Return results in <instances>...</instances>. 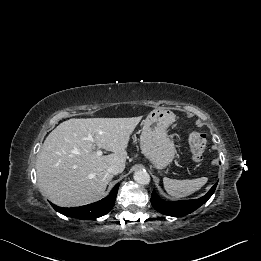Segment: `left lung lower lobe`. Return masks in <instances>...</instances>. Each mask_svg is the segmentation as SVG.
I'll use <instances>...</instances> for the list:
<instances>
[{
  "instance_id": "1",
  "label": "left lung lower lobe",
  "mask_w": 261,
  "mask_h": 261,
  "mask_svg": "<svg viewBox=\"0 0 261 261\" xmlns=\"http://www.w3.org/2000/svg\"><path fill=\"white\" fill-rule=\"evenodd\" d=\"M217 184H215L206 195L195 200H182L177 202H168L160 199L155 191L151 195L152 206L160 213L168 216L181 217L195 211L203 205L214 193Z\"/></svg>"
}]
</instances>
